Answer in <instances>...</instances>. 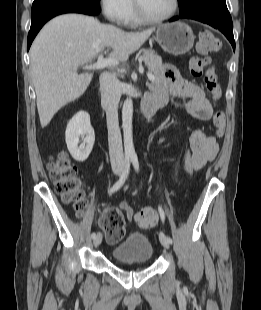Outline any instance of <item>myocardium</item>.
I'll return each instance as SVG.
<instances>
[{"label": "myocardium", "instance_id": "1", "mask_svg": "<svg viewBox=\"0 0 261 310\" xmlns=\"http://www.w3.org/2000/svg\"><path fill=\"white\" fill-rule=\"evenodd\" d=\"M133 5H134V11H135L136 17L141 23L158 24V23H162V22H165L171 19L177 13L179 9L180 1L173 0L172 9L166 15L161 16V17H150L146 15L141 9L137 0H133Z\"/></svg>", "mask_w": 261, "mask_h": 310}]
</instances>
